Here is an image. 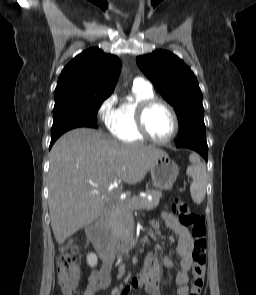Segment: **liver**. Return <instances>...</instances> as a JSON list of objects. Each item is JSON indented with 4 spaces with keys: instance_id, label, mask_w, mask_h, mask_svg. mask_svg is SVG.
Instances as JSON below:
<instances>
[{
    "instance_id": "obj_1",
    "label": "liver",
    "mask_w": 256,
    "mask_h": 295,
    "mask_svg": "<svg viewBox=\"0 0 256 295\" xmlns=\"http://www.w3.org/2000/svg\"><path fill=\"white\" fill-rule=\"evenodd\" d=\"M163 154L154 146L123 144L94 129L78 128L61 136L50 152L48 186L58 244L99 218L102 194L112 182H140Z\"/></svg>"
}]
</instances>
